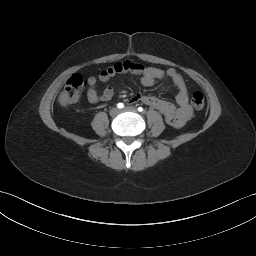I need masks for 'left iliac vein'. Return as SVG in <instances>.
Segmentation results:
<instances>
[{
  "label": "left iliac vein",
  "mask_w": 256,
  "mask_h": 256,
  "mask_svg": "<svg viewBox=\"0 0 256 256\" xmlns=\"http://www.w3.org/2000/svg\"><path fill=\"white\" fill-rule=\"evenodd\" d=\"M126 111H129V112H136V108L135 107H132V106H129V107H125L124 109L121 110V112H126Z\"/></svg>",
  "instance_id": "obj_1"
}]
</instances>
